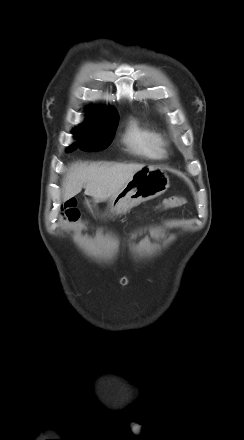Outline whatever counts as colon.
Instances as JSON below:
<instances>
[{"label": "colon", "mask_w": 244, "mask_h": 440, "mask_svg": "<svg viewBox=\"0 0 244 440\" xmlns=\"http://www.w3.org/2000/svg\"><path fill=\"white\" fill-rule=\"evenodd\" d=\"M184 203V198L181 196H172L165 199L161 205L155 208L154 213L166 209H171L178 207ZM62 216L68 221H76L79 218V210L77 208L76 202L73 200L66 201L62 207Z\"/></svg>", "instance_id": "obj_1"}]
</instances>
